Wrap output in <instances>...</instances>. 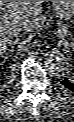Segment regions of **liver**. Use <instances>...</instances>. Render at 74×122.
I'll use <instances>...</instances> for the list:
<instances>
[{"instance_id":"6515ba94","label":"liver","mask_w":74,"mask_h":122,"mask_svg":"<svg viewBox=\"0 0 74 122\" xmlns=\"http://www.w3.org/2000/svg\"><path fill=\"white\" fill-rule=\"evenodd\" d=\"M45 1H0V48L5 50L17 41L18 31L13 27L16 21L26 24L27 32L35 31L44 21L41 16Z\"/></svg>"}]
</instances>
